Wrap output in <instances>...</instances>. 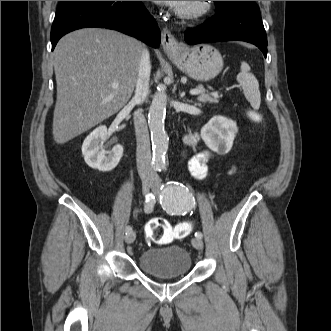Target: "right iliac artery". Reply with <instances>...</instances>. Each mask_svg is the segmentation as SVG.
<instances>
[{
	"mask_svg": "<svg viewBox=\"0 0 331 331\" xmlns=\"http://www.w3.org/2000/svg\"><path fill=\"white\" fill-rule=\"evenodd\" d=\"M144 211L145 213H150L153 210L154 204L156 202L155 197L152 194L146 195ZM132 228L130 226L126 227V234L131 232Z\"/></svg>",
	"mask_w": 331,
	"mask_h": 331,
	"instance_id": "1",
	"label": "right iliac artery"
}]
</instances>
